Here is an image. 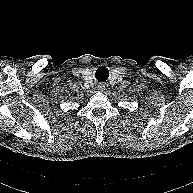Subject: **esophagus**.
<instances>
[{
	"label": "esophagus",
	"mask_w": 193,
	"mask_h": 193,
	"mask_svg": "<svg viewBox=\"0 0 193 193\" xmlns=\"http://www.w3.org/2000/svg\"><path fill=\"white\" fill-rule=\"evenodd\" d=\"M105 87H106V86H105V84H103V83H99V84H98V89H99V90H104Z\"/></svg>",
	"instance_id": "obj_1"
}]
</instances>
